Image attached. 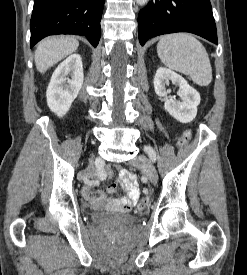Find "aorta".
I'll use <instances>...</instances> for the list:
<instances>
[{
  "label": "aorta",
  "instance_id": "aorta-1",
  "mask_svg": "<svg viewBox=\"0 0 247 275\" xmlns=\"http://www.w3.org/2000/svg\"><path fill=\"white\" fill-rule=\"evenodd\" d=\"M149 0H136V3L138 4V5H145V4H147V2H148Z\"/></svg>",
  "mask_w": 247,
  "mask_h": 275
}]
</instances>
